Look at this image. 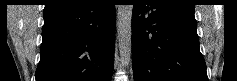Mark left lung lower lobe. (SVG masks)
<instances>
[{
  "instance_id": "1",
  "label": "left lung lower lobe",
  "mask_w": 237,
  "mask_h": 81,
  "mask_svg": "<svg viewBox=\"0 0 237 81\" xmlns=\"http://www.w3.org/2000/svg\"><path fill=\"white\" fill-rule=\"evenodd\" d=\"M194 10L163 0H135L132 61L135 81H208Z\"/></svg>"
}]
</instances>
